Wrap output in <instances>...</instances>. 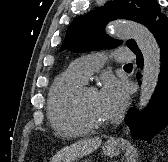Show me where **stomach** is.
I'll use <instances>...</instances> for the list:
<instances>
[{"label":"stomach","instance_id":"stomach-1","mask_svg":"<svg viewBox=\"0 0 168 162\" xmlns=\"http://www.w3.org/2000/svg\"><path fill=\"white\" fill-rule=\"evenodd\" d=\"M102 149L104 155L109 157H113L119 153V146L117 143H106Z\"/></svg>","mask_w":168,"mask_h":162}]
</instances>
